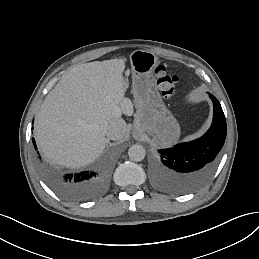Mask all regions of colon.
Segmentation results:
<instances>
[{
    "instance_id": "obj_1",
    "label": "colon",
    "mask_w": 259,
    "mask_h": 259,
    "mask_svg": "<svg viewBox=\"0 0 259 259\" xmlns=\"http://www.w3.org/2000/svg\"><path fill=\"white\" fill-rule=\"evenodd\" d=\"M157 85L162 96L166 99L176 98L179 91L178 76L168 72L165 67H158L156 69Z\"/></svg>"
}]
</instances>
